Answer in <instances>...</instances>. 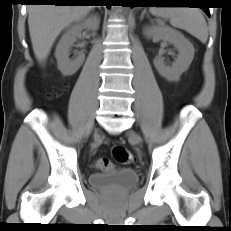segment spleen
I'll list each match as a JSON object with an SVG mask.
<instances>
[{"label":"spleen","mask_w":231,"mask_h":231,"mask_svg":"<svg viewBox=\"0 0 231 231\" xmlns=\"http://www.w3.org/2000/svg\"><path fill=\"white\" fill-rule=\"evenodd\" d=\"M150 12L157 17L168 18L172 26L185 30L202 43H206L208 38L207 23L199 9L189 7H151Z\"/></svg>","instance_id":"spleen-1"}]
</instances>
